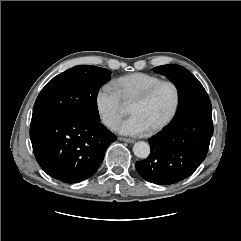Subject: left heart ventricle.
<instances>
[{
  "mask_svg": "<svg viewBox=\"0 0 241 241\" xmlns=\"http://www.w3.org/2000/svg\"><path fill=\"white\" fill-rule=\"evenodd\" d=\"M175 101V93L171 86L164 85L143 104H130V114L141 117L149 129L163 122L170 114Z\"/></svg>",
  "mask_w": 241,
  "mask_h": 241,
  "instance_id": "left-heart-ventricle-1",
  "label": "left heart ventricle"
}]
</instances>
